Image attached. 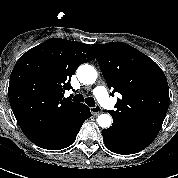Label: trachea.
<instances>
[{
    "label": "trachea",
    "instance_id": "3493384b",
    "mask_svg": "<svg viewBox=\"0 0 178 178\" xmlns=\"http://www.w3.org/2000/svg\"><path fill=\"white\" fill-rule=\"evenodd\" d=\"M73 101L75 102H83L85 101V103L90 106V107H94L95 106V101L92 97H87L84 99L82 94H77L73 97Z\"/></svg>",
    "mask_w": 178,
    "mask_h": 178
}]
</instances>
